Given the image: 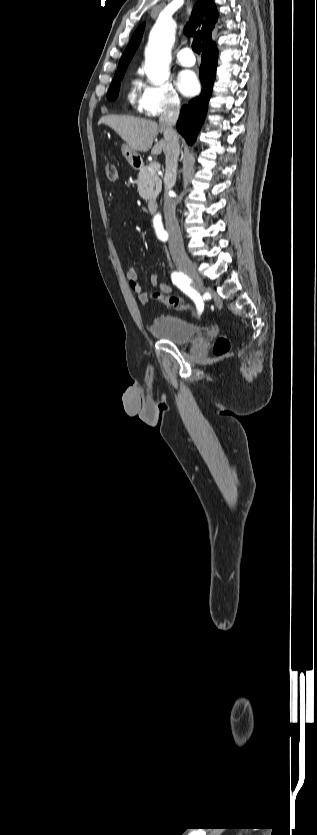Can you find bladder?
Masks as SVG:
<instances>
[{"label":"bladder","instance_id":"31cf9c89","mask_svg":"<svg viewBox=\"0 0 317 835\" xmlns=\"http://www.w3.org/2000/svg\"><path fill=\"white\" fill-rule=\"evenodd\" d=\"M151 333L157 338L183 345L198 337L201 334V328L182 318L166 315L153 321Z\"/></svg>","mask_w":317,"mask_h":835}]
</instances>
